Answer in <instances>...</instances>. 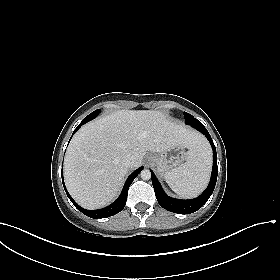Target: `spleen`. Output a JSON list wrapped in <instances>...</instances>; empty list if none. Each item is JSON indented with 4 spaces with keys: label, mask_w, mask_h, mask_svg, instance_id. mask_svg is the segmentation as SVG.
Wrapping results in <instances>:
<instances>
[{
    "label": "spleen",
    "mask_w": 280,
    "mask_h": 280,
    "mask_svg": "<svg viewBox=\"0 0 280 280\" xmlns=\"http://www.w3.org/2000/svg\"><path fill=\"white\" fill-rule=\"evenodd\" d=\"M212 166V156L208 145L188 152L185 163L165 173L170 188L179 196L193 198L207 186Z\"/></svg>",
    "instance_id": "spleen-1"
}]
</instances>
